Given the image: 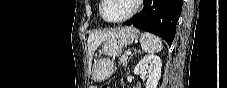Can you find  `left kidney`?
<instances>
[{
  "instance_id": "1",
  "label": "left kidney",
  "mask_w": 227,
  "mask_h": 88,
  "mask_svg": "<svg viewBox=\"0 0 227 88\" xmlns=\"http://www.w3.org/2000/svg\"><path fill=\"white\" fill-rule=\"evenodd\" d=\"M162 62L157 55L144 56L134 68V73L147 78L146 88H156L161 77Z\"/></svg>"
}]
</instances>
